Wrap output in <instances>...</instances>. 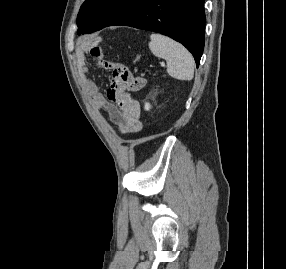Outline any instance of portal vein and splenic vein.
<instances>
[{
    "label": "portal vein and splenic vein",
    "mask_w": 286,
    "mask_h": 269,
    "mask_svg": "<svg viewBox=\"0 0 286 269\" xmlns=\"http://www.w3.org/2000/svg\"><path fill=\"white\" fill-rule=\"evenodd\" d=\"M161 66H165V64H164V63H161Z\"/></svg>",
    "instance_id": "obj_1"
}]
</instances>
